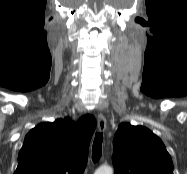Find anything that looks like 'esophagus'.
<instances>
[{"label":"esophagus","instance_id":"obj_1","mask_svg":"<svg viewBox=\"0 0 187 174\" xmlns=\"http://www.w3.org/2000/svg\"><path fill=\"white\" fill-rule=\"evenodd\" d=\"M97 127L99 132H104V130L106 129V119L101 113L97 116Z\"/></svg>","mask_w":187,"mask_h":174}]
</instances>
